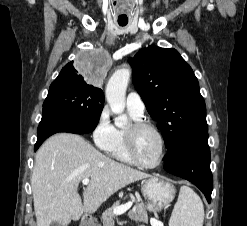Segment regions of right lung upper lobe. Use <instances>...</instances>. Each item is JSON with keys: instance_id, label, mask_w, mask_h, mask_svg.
I'll use <instances>...</instances> for the list:
<instances>
[{"instance_id": "obj_1", "label": "right lung upper lobe", "mask_w": 247, "mask_h": 226, "mask_svg": "<svg viewBox=\"0 0 247 226\" xmlns=\"http://www.w3.org/2000/svg\"><path fill=\"white\" fill-rule=\"evenodd\" d=\"M75 69H74V66H73V61L72 62H69L68 64H66V66L61 70L59 76H62V75H66V74H71L72 72H74ZM80 82H84L82 79H79ZM98 92L102 93V90L99 89V88H95ZM104 96V95H103Z\"/></svg>"}]
</instances>
